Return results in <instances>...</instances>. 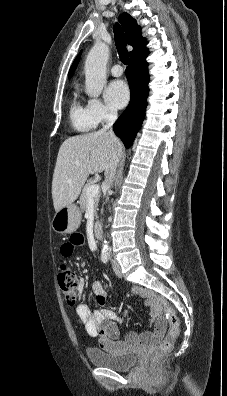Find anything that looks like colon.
Masks as SVG:
<instances>
[{"label": "colon", "mask_w": 227, "mask_h": 396, "mask_svg": "<svg viewBox=\"0 0 227 396\" xmlns=\"http://www.w3.org/2000/svg\"><path fill=\"white\" fill-rule=\"evenodd\" d=\"M58 283L68 304L74 305L78 299V281L70 266L66 264H62L60 266L58 272ZM155 299L169 323V331L166 337L160 342L154 351L153 358L157 359L172 349L173 343L179 334L180 323L175 310L165 299L159 297H155Z\"/></svg>", "instance_id": "5ec220e1"}]
</instances>
